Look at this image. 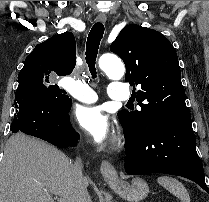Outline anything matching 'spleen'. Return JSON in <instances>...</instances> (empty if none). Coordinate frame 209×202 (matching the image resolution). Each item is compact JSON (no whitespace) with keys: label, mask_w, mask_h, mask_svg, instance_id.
I'll use <instances>...</instances> for the list:
<instances>
[{"label":"spleen","mask_w":209,"mask_h":202,"mask_svg":"<svg viewBox=\"0 0 209 202\" xmlns=\"http://www.w3.org/2000/svg\"><path fill=\"white\" fill-rule=\"evenodd\" d=\"M157 182L182 202H190V196L184 185L170 176H160Z\"/></svg>","instance_id":"spleen-1"}]
</instances>
